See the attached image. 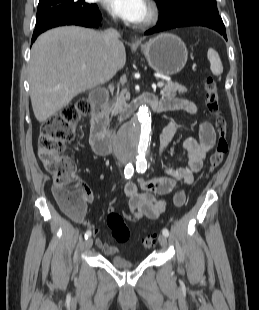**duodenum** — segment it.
Here are the masks:
<instances>
[{"label":"duodenum","instance_id":"410a0bca","mask_svg":"<svg viewBox=\"0 0 259 310\" xmlns=\"http://www.w3.org/2000/svg\"><path fill=\"white\" fill-rule=\"evenodd\" d=\"M107 98L108 91L104 89L95 90L90 97L92 105L90 143L93 151L98 155H107L112 151ZM143 105L151 107L156 112L164 111L157 98L152 95L142 96L134 103L137 109Z\"/></svg>","mask_w":259,"mask_h":310}]
</instances>
